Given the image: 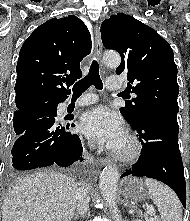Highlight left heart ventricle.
<instances>
[{"label": "left heart ventricle", "instance_id": "1", "mask_svg": "<svg viewBox=\"0 0 190 221\" xmlns=\"http://www.w3.org/2000/svg\"><path fill=\"white\" fill-rule=\"evenodd\" d=\"M128 149H129V143H128L126 137L124 136L121 143L114 150H117V151H120V152H125Z\"/></svg>", "mask_w": 190, "mask_h": 221}]
</instances>
